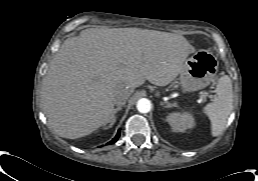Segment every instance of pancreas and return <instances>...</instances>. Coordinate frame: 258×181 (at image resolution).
Masks as SVG:
<instances>
[{
  "mask_svg": "<svg viewBox=\"0 0 258 181\" xmlns=\"http://www.w3.org/2000/svg\"><path fill=\"white\" fill-rule=\"evenodd\" d=\"M205 98H206V95H205V94H203V97H202V99H203V100H205Z\"/></svg>",
  "mask_w": 258,
  "mask_h": 181,
  "instance_id": "1",
  "label": "pancreas"
}]
</instances>
